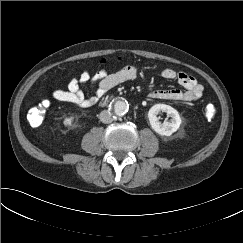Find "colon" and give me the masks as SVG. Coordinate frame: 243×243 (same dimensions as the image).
I'll return each mask as SVG.
<instances>
[{"label":"colon","mask_w":243,"mask_h":243,"mask_svg":"<svg viewBox=\"0 0 243 243\" xmlns=\"http://www.w3.org/2000/svg\"><path fill=\"white\" fill-rule=\"evenodd\" d=\"M105 61H101V64H104ZM50 102L48 100L43 101L39 105L30 109L27 115V119L31 126L38 127L42 124L45 116L46 108L49 106ZM205 116L208 119H213L216 114V109L213 105L209 104L204 109Z\"/></svg>","instance_id":"colon-1"}]
</instances>
